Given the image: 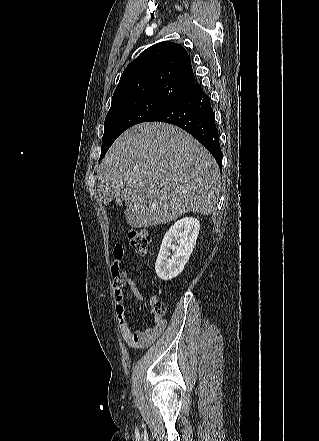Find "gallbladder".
<instances>
[{
  "label": "gallbladder",
  "instance_id": "obj_1",
  "mask_svg": "<svg viewBox=\"0 0 319 441\" xmlns=\"http://www.w3.org/2000/svg\"><path fill=\"white\" fill-rule=\"evenodd\" d=\"M118 203L121 204L122 203L121 200H118Z\"/></svg>",
  "mask_w": 319,
  "mask_h": 441
}]
</instances>
